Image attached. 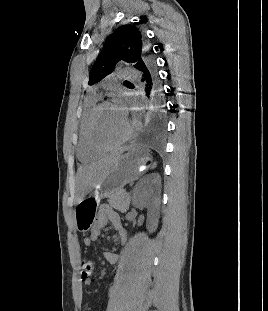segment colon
I'll use <instances>...</instances> for the list:
<instances>
[{
	"label": "colon",
	"instance_id": "obj_1",
	"mask_svg": "<svg viewBox=\"0 0 268 311\" xmlns=\"http://www.w3.org/2000/svg\"><path fill=\"white\" fill-rule=\"evenodd\" d=\"M95 268V262L92 259H84L82 261L81 271H82V278L89 277Z\"/></svg>",
	"mask_w": 268,
	"mask_h": 311
}]
</instances>
